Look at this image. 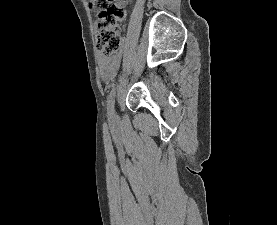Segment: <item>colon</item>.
<instances>
[{
  "label": "colon",
  "mask_w": 277,
  "mask_h": 225,
  "mask_svg": "<svg viewBox=\"0 0 277 225\" xmlns=\"http://www.w3.org/2000/svg\"><path fill=\"white\" fill-rule=\"evenodd\" d=\"M88 5L98 12L95 21L98 49L104 55L117 54L122 47L120 30L125 10L114 0H88Z\"/></svg>",
  "instance_id": "obj_1"
}]
</instances>
